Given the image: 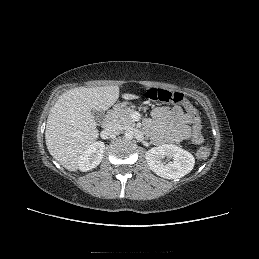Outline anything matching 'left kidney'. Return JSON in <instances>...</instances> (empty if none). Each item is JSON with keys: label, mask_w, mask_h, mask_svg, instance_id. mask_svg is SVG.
Returning <instances> with one entry per match:
<instances>
[{"label": "left kidney", "mask_w": 259, "mask_h": 259, "mask_svg": "<svg viewBox=\"0 0 259 259\" xmlns=\"http://www.w3.org/2000/svg\"><path fill=\"white\" fill-rule=\"evenodd\" d=\"M149 168L158 176L166 179H178L188 174L194 167L193 155L173 144H163L146 152ZM167 158L168 162L162 159Z\"/></svg>", "instance_id": "obj_1"}]
</instances>
